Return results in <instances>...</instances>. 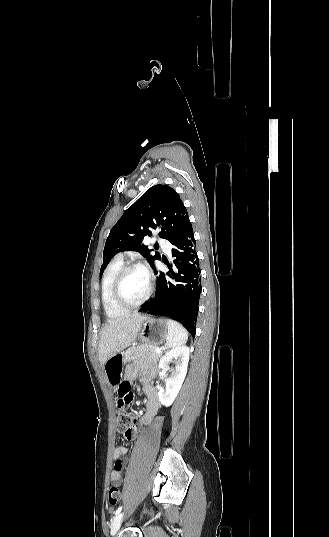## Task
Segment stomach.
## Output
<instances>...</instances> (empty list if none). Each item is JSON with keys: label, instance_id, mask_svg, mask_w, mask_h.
Wrapping results in <instances>:
<instances>
[{"label": "stomach", "instance_id": "obj_1", "mask_svg": "<svg viewBox=\"0 0 329 537\" xmlns=\"http://www.w3.org/2000/svg\"><path fill=\"white\" fill-rule=\"evenodd\" d=\"M168 321L145 316L138 337L148 345H161L168 336ZM123 357L121 353L111 356L104 364L106 379L111 386L117 385L122 378Z\"/></svg>", "mask_w": 329, "mask_h": 537}]
</instances>
